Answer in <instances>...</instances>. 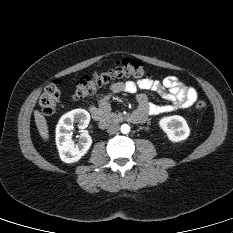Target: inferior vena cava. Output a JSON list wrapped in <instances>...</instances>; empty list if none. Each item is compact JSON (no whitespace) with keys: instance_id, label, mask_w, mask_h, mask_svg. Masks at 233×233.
<instances>
[{"instance_id":"602c4592","label":"inferior vena cava","mask_w":233,"mask_h":233,"mask_svg":"<svg viewBox=\"0 0 233 233\" xmlns=\"http://www.w3.org/2000/svg\"><path fill=\"white\" fill-rule=\"evenodd\" d=\"M119 130L120 126L117 123L110 124L107 128V132L109 134H116L117 132H119Z\"/></svg>"}]
</instances>
